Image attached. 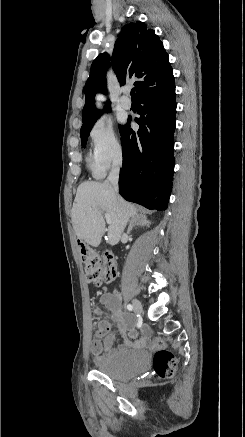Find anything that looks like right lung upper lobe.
Wrapping results in <instances>:
<instances>
[{
	"mask_svg": "<svg viewBox=\"0 0 245 437\" xmlns=\"http://www.w3.org/2000/svg\"><path fill=\"white\" fill-rule=\"evenodd\" d=\"M110 61L120 85L130 79H137L134 83L136 97L174 82L168 54L155 31L141 21L127 24L115 43L111 59L105 52L91 65L90 77L84 87L82 126L98 118L100 111L94 106V97L99 91L106 93L105 77ZM109 105L110 102L107 103Z\"/></svg>",
	"mask_w": 245,
	"mask_h": 437,
	"instance_id": "obj_1",
	"label": "right lung upper lobe"
}]
</instances>
